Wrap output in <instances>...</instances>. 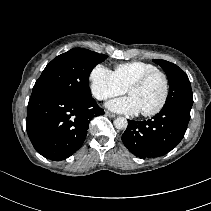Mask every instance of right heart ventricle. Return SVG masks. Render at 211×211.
Returning <instances> with one entry per match:
<instances>
[{
	"mask_svg": "<svg viewBox=\"0 0 211 211\" xmlns=\"http://www.w3.org/2000/svg\"><path fill=\"white\" fill-rule=\"evenodd\" d=\"M155 70H157V67L151 63L133 61L116 65L113 73L118 82L127 89L132 82Z\"/></svg>",
	"mask_w": 211,
	"mask_h": 211,
	"instance_id": "1",
	"label": "right heart ventricle"
}]
</instances>
